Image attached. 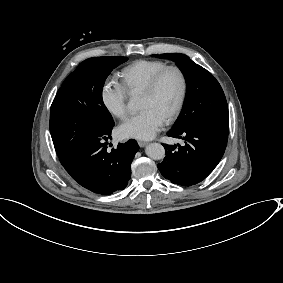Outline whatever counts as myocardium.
I'll return each mask as SVG.
<instances>
[{"mask_svg":"<svg viewBox=\"0 0 283 283\" xmlns=\"http://www.w3.org/2000/svg\"><path fill=\"white\" fill-rule=\"evenodd\" d=\"M170 71H175L178 74L181 86H180V92H179L177 101H176L175 105L173 106V108L166 115L165 119H172L182 109V106H183V103H184V100H185V97H186V92H187V79H186V75L183 72V70L176 65H168V66L164 67L162 70H160L159 72H157L148 81L146 86L141 91V94H144V95L153 94L156 91V89H157L160 81L162 80V78Z\"/></svg>","mask_w":283,"mask_h":283,"instance_id":"myocardium-1","label":"myocardium"}]
</instances>
